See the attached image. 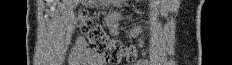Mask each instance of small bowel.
<instances>
[{
    "instance_id": "obj_1",
    "label": "small bowel",
    "mask_w": 232,
    "mask_h": 65,
    "mask_svg": "<svg viewBox=\"0 0 232 65\" xmlns=\"http://www.w3.org/2000/svg\"><path fill=\"white\" fill-rule=\"evenodd\" d=\"M107 21L109 24V27H111V30H115V27H112V21H129V20H135V17H129V16H117V12H106ZM117 27H121V24H117ZM140 34V29H132V32H129V37H138ZM118 37H123V32L117 33ZM148 61L144 60L139 62L137 65H147Z\"/></svg>"
}]
</instances>
